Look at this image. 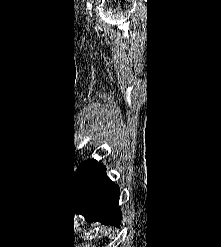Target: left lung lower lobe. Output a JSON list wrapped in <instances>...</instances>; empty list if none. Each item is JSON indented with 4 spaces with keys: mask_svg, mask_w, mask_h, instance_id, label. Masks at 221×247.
I'll return each instance as SVG.
<instances>
[{
    "mask_svg": "<svg viewBox=\"0 0 221 247\" xmlns=\"http://www.w3.org/2000/svg\"><path fill=\"white\" fill-rule=\"evenodd\" d=\"M68 199L87 222L120 227L118 185L107 177L105 166L96 160L88 159L78 166L69 184Z\"/></svg>",
    "mask_w": 221,
    "mask_h": 247,
    "instance_id": "1",
    "label": "left lung lower lobe"
}]
</instances>
